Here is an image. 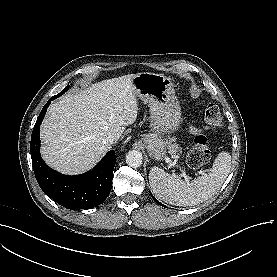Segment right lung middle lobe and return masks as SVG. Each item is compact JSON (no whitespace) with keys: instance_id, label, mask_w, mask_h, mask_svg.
<instances>
[{"instance_id":"dd1d6c3e","label":"right lung middle lobe","mask_w":277,"mask_h":277,"mask_svg":"<svg viewBox=\"0 0 277 277\" xmlns=\"http://www.w3.org/2000/svg\"><path fill=\"white\" fill-rule=\"evenodd\" d=\"M69 87H70V85H67V86L64 88V90H63L62 92H60L59 94L53 96L52 98H53V99H56V98H58L59 96L63 95V94L69 89Z\"/></svg>"}]
</instances>
